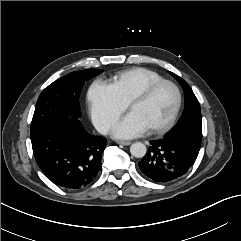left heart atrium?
Returning <instances> with one entry per match:
<instances>
[{
    "label": "left heart atrium",
    "mask_w": 241,
    "mask_h": 241,
    "mask_svg": "<svg viewBox=\"0 0 241 241\" xmlns=\"http://www.w3.org/2000/svg\"><path fill=\"white\" fill-rule=\"evenodd\" d=\"M149 129V125L136 112L130 111L116 124L113 134L117 138L128 139L140 136Z\"/></svg>",
    "instance_id": "left-heart-atrium-1"
}]
</instances>
